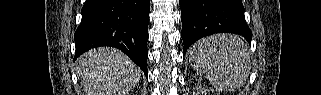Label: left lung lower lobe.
<instances>
[{
    "label": "left lung lower lobe",
    "mask_w": 321,
    "mask_h": 95,
    "mask_svg": "<svg viewBox=\"0 0 321 95\" xmlns=\"http://www.w3.org/2000/svg\"><path fill=\"white\" fill-rule=\"evenodd\" d=\"M182 20L183 54L200 38L221 32L244 36L252 33L244 17L241 0H179Z\"/></svg>",
    "instance_id": "obj_1"
}]
</instances>
